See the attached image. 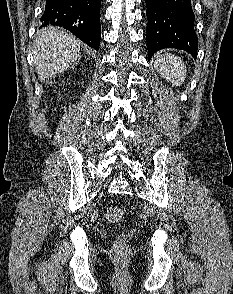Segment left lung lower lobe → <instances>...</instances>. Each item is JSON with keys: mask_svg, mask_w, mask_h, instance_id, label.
<instances>
[{"mask_svg": "<svg viewBox=\"0 0 233 294\" xmlns=\"http://www.w3.org/2000/svg\"><path fill=\"white\" fill-rule=\"evenodd\" d=\"M148 19V58L163 48H176L197 55L191 0H145Z\"/></svg>", "mask_w": 233, "mask_h": 294, "instance_id": "left-lung-lower-lobe-1", "label": "left lung lower lobe"}]
</instances>
